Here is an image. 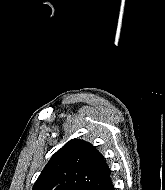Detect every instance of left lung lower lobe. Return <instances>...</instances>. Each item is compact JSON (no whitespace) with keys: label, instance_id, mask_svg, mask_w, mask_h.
Segmentation results:
<instances>
[{"label":"left lung lower lobe","instance_id":"obj_1","mask_svg":"<svg viewBox=\"0 0 165 190\" xmlns=\"http://www.w3.org/2000/svg\"><path fill=\"white\" fill-rule=\"evenodd\" d=\"M101 190H114V186L112 184L111 177L106 181Z\"/></svg>","mask_w":165,"mask_h":190}]
</instances>
